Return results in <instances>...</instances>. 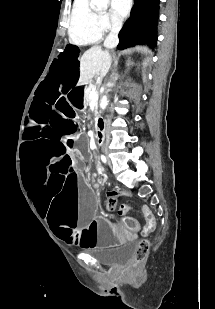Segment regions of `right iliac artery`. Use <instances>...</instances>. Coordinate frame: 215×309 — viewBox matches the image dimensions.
I'll use <instances>...</instances> for the list:
<instances>
[{
    "label": "right iliac artery",
    "instance_id": "1",
    "mask_svg": "<svg viewBox=\"0 0 215 309\" xmlns=\"http://www.w3.org/2000/svg\"><path fill=\"white\" fill-rule=\"evenodd\" d=\"M101 159L104 163H106V157L104 155L101 156Z\"/></svg>",
    "mask_w": 215,
    "mask_h": 309
}]
</instances>
